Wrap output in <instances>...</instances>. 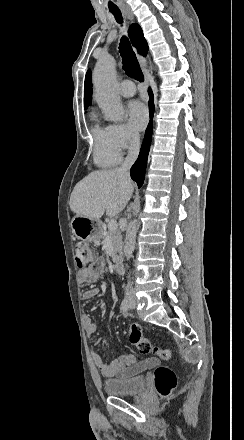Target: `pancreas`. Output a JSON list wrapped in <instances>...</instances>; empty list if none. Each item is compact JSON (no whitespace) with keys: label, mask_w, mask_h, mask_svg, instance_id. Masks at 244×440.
<instances>
[{"label":"pancreas","mask_w":244,"mask_h":440,"mask_svg":"<svg viewBox=\"0 0 244 440\" xmlns=\"http://www.w3.org/2000/svg\"><path fill=\"white\" fill-rule=\"evenodd\" d=\"M109 236V240L111 242V246L113 248V254H110L113 262H115L117 256H115L116 252H122V236L120 230H113V232H108V234H104L103 230L98 236L97 240H105Z\"/></svg>","instance_id":"1"}]
</instances>
